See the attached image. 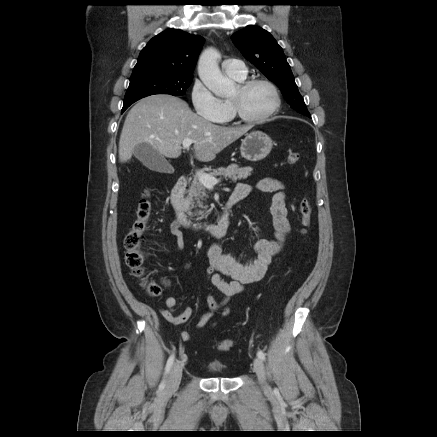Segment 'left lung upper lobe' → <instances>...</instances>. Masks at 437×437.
<instances>
[{
    "label": "left lung upper lobe",
    "instance_id": "left-lung-upper-lobe-1",
    "mask_svg": "<svg viewBox=\"0 0 437 437\" xmlns=\"http://www.w3.org/2000/svg\"><path fill=\"white\" fill-rule=\"evenodd\" d=\"M243 56L276 83L290 106L310 117L282 48L266 30L250 26L231 36Z\"/></svg>",
    "mask_w": 437,
    "mask_h": 437
}]
</instances>
